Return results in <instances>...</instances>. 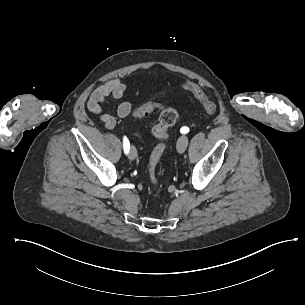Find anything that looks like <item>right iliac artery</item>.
<instances>
[{
	"label": "right iliac artery",
	"mask_w": 305,
	"mask_h": 305,
	"mask_svg": "<svg viewBox=\"0 0 305 305\" xmlns=\"http://www.w3.org/2000/svg\"><path fill=\"white\" fill-rule=\"evenodd\" d=\"M123 149H124L125 154H128L129 149H130V143H129V140L126 138V136H124V139H123Z\"/></svg>",
	"instance_id": "obj_1"
}]
</instances>
